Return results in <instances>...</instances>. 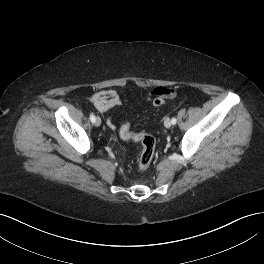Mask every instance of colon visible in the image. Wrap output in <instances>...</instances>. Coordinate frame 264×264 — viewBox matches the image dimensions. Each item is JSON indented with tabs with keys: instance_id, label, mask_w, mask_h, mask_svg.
Listing matches in <instances>:
<instances>
[{
	"instance_id": "1",
	"label": "colon",
	"mask_w": 264,
	"mask_h": 264,
	"mask_svg": "<svg viewBox=\"0 0 264 264\" xmlns=\"http://www.w3.org/2000/svg\"><path fill=\"white\" fill-rule=\"evenodd\" d=\"M165 99L155 98L152 103L154 106H161ZM120 136L124 140L134 141L141 144L142 149L138 159L137 167L140 171H145L151 164L156 148L155 138L147 133H135L130 129L128 123L123 124L120 128Z\"/></svg>"
}]
</instances>
